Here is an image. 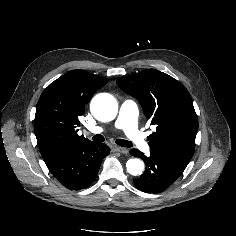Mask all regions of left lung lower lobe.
<instances>
[{"label":"left lung lower lobe","mask_w":236,"mask_h":236,"mask_svg":"<svg viewBox=\"0 0 236 236\" xmlns=\"http://www.w3.org/2000/svg\"><path fill=\"white\" fill-rule=\"evenodd\" d=\"M150 152L147 157L137 149L130 151L131 155L141 158L146 164L144 173L134 183L146 193H160L179 178L188 164L154 148Z\"/></svg>","instance_id":"1"}]
</instances>
